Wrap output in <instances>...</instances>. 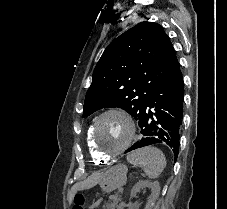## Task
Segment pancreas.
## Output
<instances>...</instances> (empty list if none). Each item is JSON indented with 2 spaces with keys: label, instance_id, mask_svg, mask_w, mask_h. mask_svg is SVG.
<instances>
[{
  "label": "pancreas",
  "instance_id": "1",
  "mask_svg": "<svg viewBox=\"0 0 227 209\" xmlns=\"http://www.w3.org/2000/svg\"><path fill=\"white\" fill-rule=\"evenodd\" d=\"M111 199V197H110ZM115 203L117 202L116 200L114 201ZM113 204V203H109L107 206H108V209H116V207L118 206L117 204Z\"/></svg>",
  "mask_w": 227,
  "mask_h": 209
}]
</instances>
